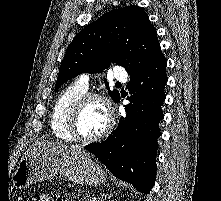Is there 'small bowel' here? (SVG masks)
<instances>
[{"label": "small bowel", "mask_w": 221, "mask_h": 201, "mask_svg": "<svg viewBox=\"0 0 221 201\" xmlns=\"http://www.w3.org/2000/svg\"><path fill=\"white\" fill-rule=\"evenodd\" d=\"M39 201H55V200L49 195H42Z\"/></svg>", "instance_id": "obj_1"}]
</instances>
